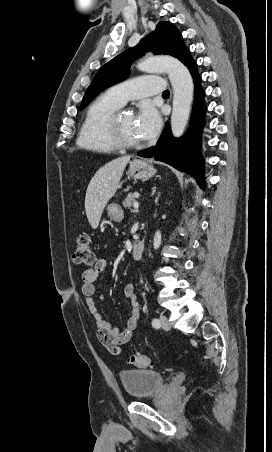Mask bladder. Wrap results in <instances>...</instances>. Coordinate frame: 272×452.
Masks as SVG:
<instances>
[{"label": "bladder", "instance_id": "1", "mask_svg": "<svg viewBox=\"0 0 272 452\" xmlns=\"http://www.w3.org/2000/svg\"><path fill=\"white\" fill-rule=\"evenodd\" d=\"M127 395L142 399L158 393L165 385L164 376L151 369H126L118 373Z\"/></svg>", "mask_w": 272, "mask_h": 452}]
</instances>
